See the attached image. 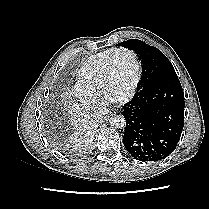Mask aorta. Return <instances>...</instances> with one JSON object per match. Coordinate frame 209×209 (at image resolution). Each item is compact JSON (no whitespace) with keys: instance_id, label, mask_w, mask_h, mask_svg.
Returning a JSON list of instances; mask_svg holds the SVG:
<instances>
[{"instance_id":"aorta-1","label":"aorta","mask_w":209,"mask_h":209,"mask_svg":"<svg viewBox=\"0 0 209 209\" xmlns=\"http://www.w3.org/2000/svg\"><path fill=\"white\" fill-rule=\"evenodd\" d=\"M110 125L113 128L121 129L126 125V121L123 115H113L110 118Z\"/></svg>"}]
</instances>
